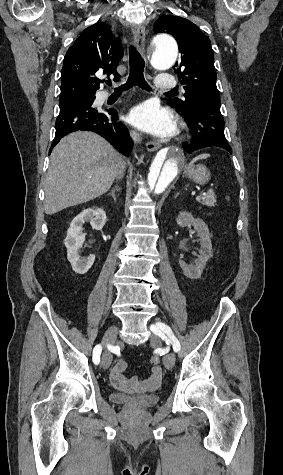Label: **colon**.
<instances>
[{
	"instance_id": "5ec220e1",
	"label": "colon",
	"mask_w": 283,
	"mask_h": 475,
	"mask_svg": "<svg viewBox=\"0 0 283 475\" xmlns=\"http://www.w3.org/2000/svg\"><path fill=\"white\" fill-rule=\"evenodd\" d=\"M149 363H150V365H151L152 367L158 366V365H159V357L153 356V357L150 359Z\"/></svg>"
}]
</instances>
